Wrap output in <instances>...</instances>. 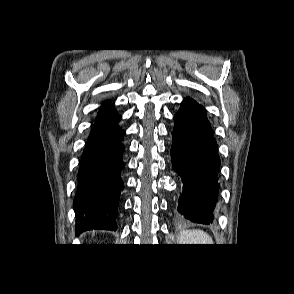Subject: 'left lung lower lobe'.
<instances>
[{
	"instance_id": "obj_1",
	"label": "left lung lower lobe",
	"mask_w": 294,
	"mask_h": 294,
	"mask_svg": "<svg viewBox=\"0 0 294 294\" xmlns=\"http://www.w3.org/2000/svg\"><path fill=\"white\" fill-rule=\"evenodd\" d=\"M174 120L172 168L184 183L178 212L189 221L208 225L219 188L217 143L205 109L196 101L184 99Z\"/></svg>"
}]
</instances>
